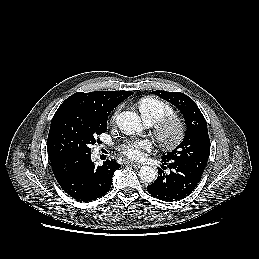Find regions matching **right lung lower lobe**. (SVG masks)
Wrapping results in <instances>:
<instances>
[{
	"mask_svg": "<svg viewBox=\"0 0 259 259\" xmlns=\"http://www.w3.org/2000/svg\"><path fill=\"white\" fill-rule=\"evenodd\" d=\"M50 162L61 188L81 202L105 195L111 188L114 172L120 167L115 160H106L102 166H95L91 153L68 154Z\"/></svg>",
	"mask_w": 259,
	"mask_h": 259,
	"instance_id": "1",
	"label": "right lung lower lobe"
}]
</instances>
